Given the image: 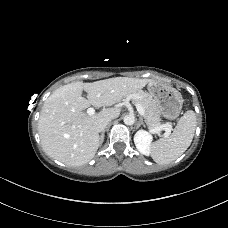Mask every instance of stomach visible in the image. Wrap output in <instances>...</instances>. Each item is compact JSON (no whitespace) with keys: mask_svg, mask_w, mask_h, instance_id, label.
<instances>
[{"mask_svg":"<svg viewBox=\"0 0 228 228\" xmlns=\"http://www.w3.org/2000/svg\"><path fill=\"white\" fill-rule=\"evenodd\" d=\"M147 90L148 92L144 94L154 102L165 118L174 120L179 116L183 98L178 90L157 82L147 84Z\"/></svg>","mask_w":228,"mask_h":228,"instance_id":"stomach-1","label":"stomach"}]
</instances>
